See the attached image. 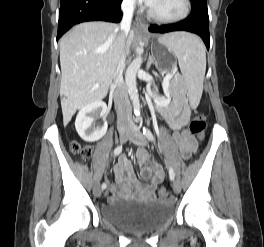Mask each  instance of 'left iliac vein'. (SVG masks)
Returning <instances> with one entry per match:
<instances>
[{"label": "left iliac vein", "instance_id": "left-iliac-vein-1", "mask_svg": "<svg viewBox=\"0 0 264 247\" xmlns=\"http://www.w3.org/2000/svg\"><path fill=\"white\" fill-rule=\"evenodd\" d=\"M129 140L132 141L134 144L139 146H146L147 141L143 133L137 127H133L131 129V133L129 135ZM173 190L175 193H180L181 186L178 181L173 182Z\"/></svg>", "mask_w": 264, "mask_h": 247}]
</instances>
